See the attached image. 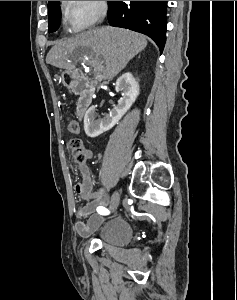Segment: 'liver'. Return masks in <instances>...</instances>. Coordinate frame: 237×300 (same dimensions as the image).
<instances>
[{
    "instance_id": "obj_1",
    "label": "liver",
    "mask_w": 237,
    "mask_h": 300,
    "mask_svg": "<svg viewBox=\"0 0 237 300\" xmlns=\"http://www.w3.org/2000/svg\"><path fill=\"white\" fill-rule=\"evenodd\" d=\"M146 45V37L139 33L115 27H100L59 41L50 49L46 63L58 69L73 71L80 57L86 53L91 59L95 57L99 63H104L105 67L98 65L104 79H113Z\"/></svg>"
}]
</instances>
